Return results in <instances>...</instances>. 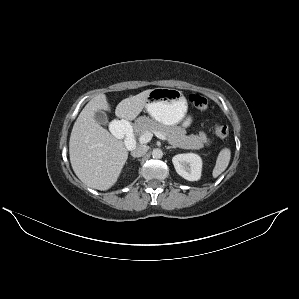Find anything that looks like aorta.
<instances>
[{
  "label": "aorta",
  "instance_id": "1",
  "mask_svg": "<svg viewBox=\"0 0 299 299\" xmlns=\"http://www.w3.org/2000/svg\"><path fill=\"white\" fill-rule=\"evenodd\" d=\"M152 157H153L154 159H160V158H162V157H163V152H162V150H161V149H158V148L153 149V151H152Z\"/></svg>",
  "mask_w": 299,
  "mask_h": 299
}]
</instances>
